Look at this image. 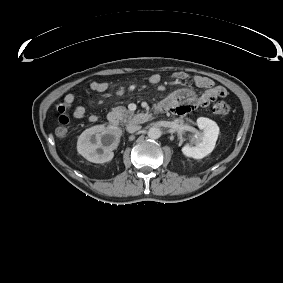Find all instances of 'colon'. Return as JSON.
Returning a JSON list of instances; mask_svg holds the SVG:
<instances>
[{
	"instance_id": "1",
	"label": "colon",
	"mask_w": 283,
	"mask_h": 283,
	"mask_svg": "<svg viewBox=\"0 0 283 283\" xmlns=\"http://www.w3.org/2000/svg\"><path fill=\"white\" fill-rule=\"evenodd\" d=\"M212 111L217 116H226L230 112V106L225 101H219L213 105ZM59 121L61 122V125L56 129L55 133L58 138L62 139L68 134V128L66 126L68 119L64 118L60 120L59 118Z\"/></svg>"
}]
</instances>
